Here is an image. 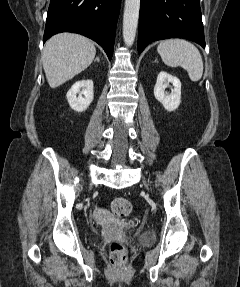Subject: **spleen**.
<instances>
[{
	"label": "spleen",
	"instance_id": "3e777b00",
	"mask_svg": "<svg viewBox=\"0 0 240 287\" xmlns=\"http://www.w3.org/2000/svg\"><path fill=\"white\" fill-rule=\"evenodd\" d=\"M157 51L167 66L182 67L193 82L201 79L203 61L199 50L192 43L184 39H167L160 42Z\"/></svg>",
	"mask_w": 240,
	"mask_h": 287
}]
</instances>
